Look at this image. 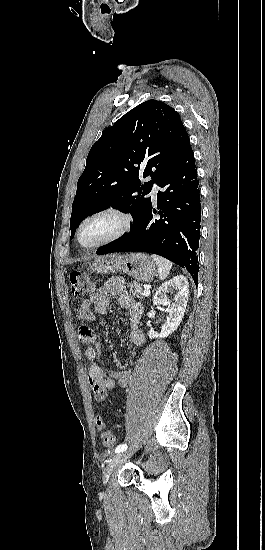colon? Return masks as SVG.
Segmentation results:
<instances>
[{
    "label": "colon",
    "instance_id": "5ec220e1",
    "mask_svg": "<svg viewBox=\"0 0 265 550\" xmlns=\"http://www.w3.org/2000/svg\"><path fill=\"white\" fill-rule=\"evenodd\" d=\"M68 280L70 284L71 294L74 298H82L86 295L93 293L95 285L94 281L80 270H71L68 272ZM91 387L94 392V398L98 402H103L106 399L105 393L100 390L98 385L91 383ZM96 427L101 432V438L105 447H113L115 444V437L113 433L106 429L105 423L101 417H97L95 420Z\"/></svg>",
    "mask_w": 265,
    "mask_h": 550
}]
</instances>
